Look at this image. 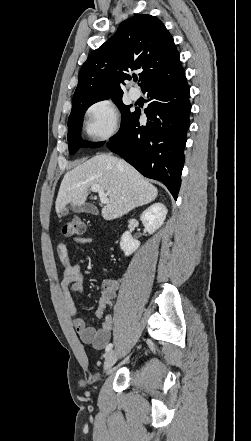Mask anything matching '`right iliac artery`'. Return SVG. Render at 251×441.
Instances as JSON below:
<instances>
[{
    "label": "right iliac artery",
    "instance_id": "82829eb1",
    "mask_svg": "<svg viewBox=\"0 0 251 441\" xmlns=\"http://www.w3.org/2000/svg\"><path fill=\"white\" fill-rule=\"evenodd\" d=\"M112 347H113V344H112V343H109V344L106 346L105 351H106V352H109V351L112 349Z\"/></svg>",
    "mask_w": 251,
    "mask_h": 441
}]
</instances>
